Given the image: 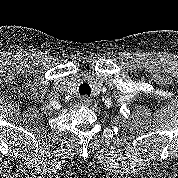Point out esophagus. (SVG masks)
I'll use <instances>...</instances> for the list:
<instances>
[{"label": "esophagus", "mask_w": 178, "mask_h": 178, "mask_svg": "<svg viewBox=\"0 0 178 178\" xmlns=\"http://www.w3.org/2000/svg\"><path fill=\"white\" fill-rule=\"evenodd\" d=\"M92 104L91 100L87 96H83L80 99V105L88 107Z\"/></svg>", "instance_id": "34e87169"}]
</instances>
